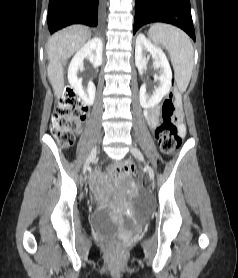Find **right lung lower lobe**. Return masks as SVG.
<instances>
[{
	"mask_svg": "<svg viewBox=\"0 0 238 278\" xmlns=\"http://www.w3.org/2000/svg\"><path fill=\"white\" fill-rule=\"evenodd\" d=\"M104 0H50L48 25L50 33L71 24L96 27L102 16Z\"/></svg>",
	"mask_w": 238,
	"mask_h": 278,
	"instance_id": "obj_1",
	"label": "right lung lower lobe"
}]
</instances>
